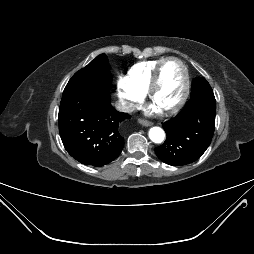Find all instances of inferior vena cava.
<instances>
[{
	"mask_svg": "<svg viewBox=\"0 0 254 254\" xmlns=\"http://www.w3.org/2000/svg\"><path fill=\"white\" fill-rule=\"evenodd\" d=\"M116 108L121 112H132L134 110V107L131 104H128L124 101H118L116 103Z\"/></svg>",
	"mask_w": 254,
	"mask_h": 254,
	"instance_id": "inferior-vena-cava-1",
	"label": "inferior vena cava"
}]
</instances>
